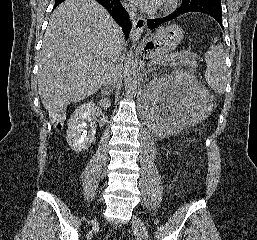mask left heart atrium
<instances>
[{
  "label": "left heart atrium",
  "mask_w": 257,
  "mask_h": 240,
  "mask_svg": "<svg viewBox=\"0 0 257 240\" xmlns=\"http://www.w3.org/2000/svg\"><path fill=\"white\" fill-rule=\"evenodd\" d=\"M162 0H130L134 5L140 9L151 11L159 6Z\"/></svg>",
  "instance_id": "obj_1"
}]
</instances>
